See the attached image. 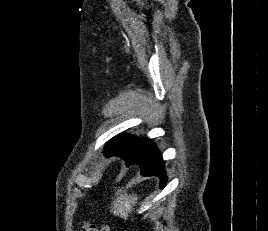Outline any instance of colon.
<instances>
[{
	"mask_svg": "<svg viewBox=\"0 0 268 231\" xmlns=\"http://www.w3.org/2000/svg\"><path fill=\"white\" fill-rule=\"evenodd\" d=\"M81 231H110L107 225H95L93 223H83L81 225Z\"/></svg>",
	"mask_w": 268,
	"mask_h": 231,
	"instance_id": "obj_1",
	"label": "colon"
}]
</instances>
